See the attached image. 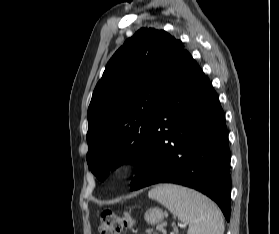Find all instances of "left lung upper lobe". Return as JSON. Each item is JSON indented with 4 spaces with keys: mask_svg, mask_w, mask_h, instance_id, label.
Segmentation results:
<instances>
[{
    "mask_svg": "<svg viewBox=\"0 0 279 234\" xmlns=\"http://www.w3.org/2000/svg\"><path fill=\"white\" fill-rule=\"evenodd\" d=\"M183 50L166 31L141 28L107 63L87 114V163L99 180L124 162L142 165L155 110Z\"/></svg>",
    "mask_w": 279,
    "mask_h": 234,
    "instance_id": "1",
    "label": "left lung upper lobe"
}]
</instances>
